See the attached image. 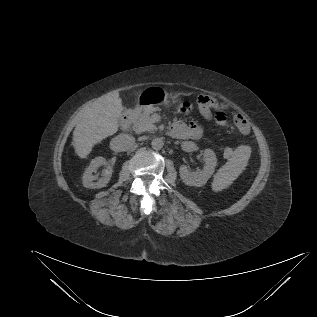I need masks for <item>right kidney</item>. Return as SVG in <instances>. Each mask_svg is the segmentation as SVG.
Listing matches in <instances>:
<instances>
[{
	"mask_svg": "<svg viewBox=\"0 0 317 317\" xmlns=\"http://www.w3.org/2000/svg\"><path fill=\"white\" fill-rule=\"evenodd\" d=\"M102 165L106 166V169L102 173V177L98 178V176L93 175V172H97L99 167ZM112 175V168L107 163L106 159L103 157H96L94 158L90 165L86 168L84 174H83V186L86 188H102L107 185V183L110 181Z\"/></svg>",
	"mask_w": 317,
	"mask_h": 317,
	"instance_id": "obj_1",
	"label": "right kidney"
}]
</instances>
